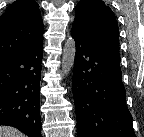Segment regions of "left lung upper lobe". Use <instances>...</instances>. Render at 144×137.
Segmentation results:
<instances>
[{
	"instance_id": "left-lung-upper-lobe-1",
	"label": "left lung upper lobe",
	"mask_w": 144,
	"mask_h": 137,
	"mask_svg": "<svg viewBox=\"0 0 144 137\" xmlns=\"http://www.w3.org/2000/svg\"><path fill=\"white\" fill-rule=\"evenodd\" d=\"M72 30L94 45L119 54V30L114 13L102 0H80Z\"/></svg>"
}]
</instances>
